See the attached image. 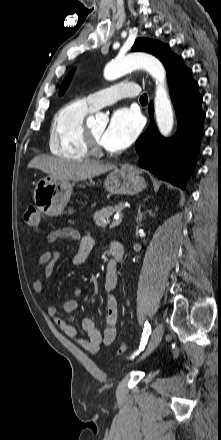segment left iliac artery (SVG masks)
Here are the masks:
<instances>
[{
    "label": "left iliac artery",
    "mask_w": 221,
    "mask_h": 440,
    "mask_svg": "<svg viewBox=\"0 0 221 440\" xmlns=\"http://www.w3.org/2000/svg\"><path fill=\"white\" fill-rule=\"evenodd\" d=\"M150 334H151V326H150V324L146 321V322H145V327H144V330H143V334H142V339H141L140 349L132 355V358H134L136 355L139 354V352H140L141 350L144 349V347H145V345H146V342H147L148 337H149Z\"/></svg>",
    "instance_id": "left-iliac-artery-1"
}]
</instances>
